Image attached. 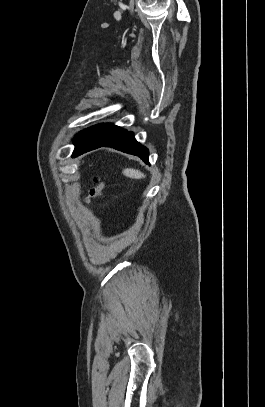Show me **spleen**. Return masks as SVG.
<instances>
[{"label": "spleen", "instance_id": "1", "mask_svg": "<svg viewBox=\"0 0 265 407\" xmlns=\"http://www.w3.org/2000/svg\"><path fill=\"white\" fill-rule=\"evenodd\" d=\"M123 174L126 177H129L132 179H141V178L145 177V175L142 172H140L139 170L131 169V168L124 169Z\"/></svg>", "mask_w": 265, "mask_h": 407}]
</instances>
